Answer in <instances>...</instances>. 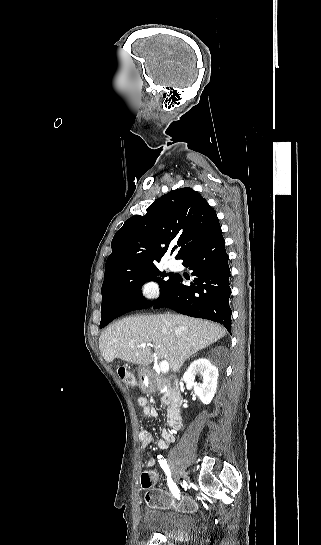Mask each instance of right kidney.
I'll use <instances>...</instances> for the list:
<instances>
[{
    "label": "right kidney",
    "mask_w": 321,
    "mask_h": 545,
    "mask_svg": "<svg viewBox=\"0 0 321 545\" xmlns=\"http://www.w3.org/2000/svg\"><path fill=\"white\" fill-rule=\"evenodd\" d=\"M196 375L203 377L202 385L194 383ZM217 379L218 370H215L214 365H211L208 359H197V361L191 363L189 369L184 373L182 381H184L188 391L194 389V393L199 397L200 401L204 405H209L216 393Z\"/></svg>",
    "instance_id": "1"
}]
</instances>
